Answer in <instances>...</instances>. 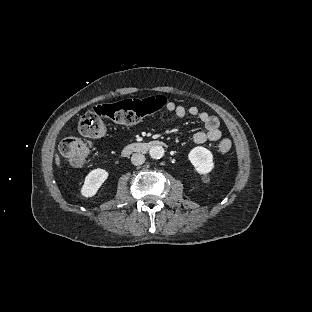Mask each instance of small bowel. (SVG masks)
<instances>
[{
  "label": "small bowel",
  "instance_id": "1",
  "mask_svg": "<svg viewBox=\"0 0 312 312\" xmlns=\"http://www.w3.org/2000/svg\"><path fill=\"white\" fill-rule=\"evenodd\" d=\"M166 110L179 120L184 119L188 115L198 118V120L205 126L206 131H199L194 134L193 142L196 144H202L207 141H217L222 136L219 119L214 115L201 111L195 105L185 107L181 104L168 102Z\"/></svg>",
  "mask_w": 312,
  "mask_h": 312
}]
</instances>
